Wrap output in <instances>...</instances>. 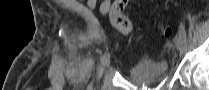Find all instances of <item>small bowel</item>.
I'll list each match as a JSON object with an SVG mask.
<instances>
[{"instance_id":"c3829d8e","label":"small bowel","mask_w":209,"mask_h":90,"mask_svg":"<svg viewBox=\"0 0 209 90\" xmlns=\"http://www.w3.org/2000/svg\"><path fill=\"white\" fill-rule=\"evenodd\" d=\"M110 1L106 0V1H103L100 5V13L101 14H106L108 13L109 9H110ZM87 6L90 8V9H93L95 8L96 6V0H88L87 2Z\"/></svg>"}]
</instances>
